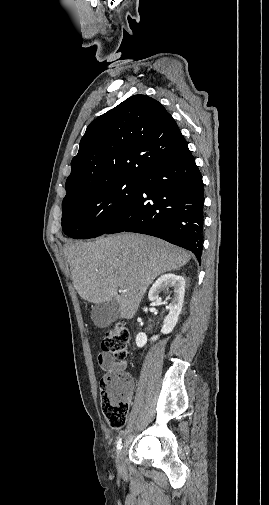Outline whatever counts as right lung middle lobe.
Returning <instances> with one entry per match:
<instances>
[{"instance_id": "dd1d6c3e", "label": "right lung middle lobe", "mask_w": 269, "mask_h": 505, "mask_svg": "<svg viewBox=\"0 0 269 505\" xmlns=\"http://www.w3.org/2000/svg\"><path fill=\"white\" fill-rule=\"evenodd\" d=\"M139 180L123 179L86 189L63 201V232L75 239L104 234L124 213Z\"/></svg>"}]
</instances>
